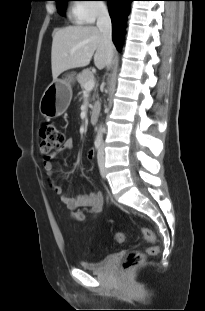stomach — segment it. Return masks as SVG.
<instances>
[{
  "label": "stomach",
  "mask_w": 205,
  "mask_h": 311,
  "mask_svg": "<svg viewBox=\"0 0 205 311\" xmlns=\"http://www.w3.org/2000/svg\"><path fill=\"white\" fill-rule=\"evenodd\" d=\"M74 75L66 79L53 81L44 91L39 104L40 113L46 118L62 115L68 108L72 98V83Z\"/></svg>",
  "instance_id": "1"
}]
</instances>
